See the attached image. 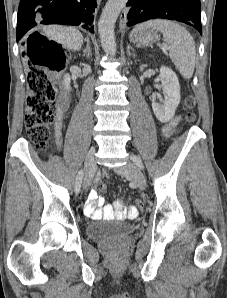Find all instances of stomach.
<instances>
[{
  "mask_svg": "<svg viewBox=\"0 0 227 298\" xmlns=\"http://www.w3.org/2000/svg\"><path fill=\"white\" fill-rule=\"evenodd\" d=\"M130 38L138 46H149L158 39V35L153 30L146 28L132 32Z\"/></svg>",
  "mask_w": 227,
  "mask_h": 298,
  "instance_id": "0dacf381",
  "label": "stomach"
}]
</instances>
